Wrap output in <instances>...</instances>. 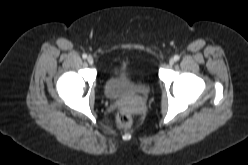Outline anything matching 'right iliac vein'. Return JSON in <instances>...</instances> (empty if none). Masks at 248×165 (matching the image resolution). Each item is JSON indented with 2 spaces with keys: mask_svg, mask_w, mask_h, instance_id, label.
Listing matches in <instances>:
<instances>
[{
  "mask_svg": "<svg viewBox=\"0 0 248 165\" xmlns=\"http://www.w3.org/2000/svg\"><path fill=\"white\" fill-rule=\"evenodd\" d=\"M87 62H88L89 64H93V62H94L93 57H92V56H88V57H87Z\"/></svg>",
  "mask_w": 248,
  "mask_h": 165,
  "instance_id": "1",
  "label": "right iliac vein"
}]
</instances>
